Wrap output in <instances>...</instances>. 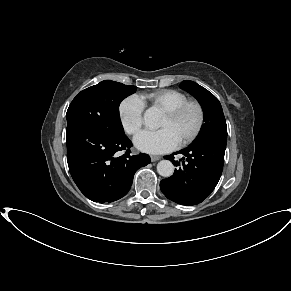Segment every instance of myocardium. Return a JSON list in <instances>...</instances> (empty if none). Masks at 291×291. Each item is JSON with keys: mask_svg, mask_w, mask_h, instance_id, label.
I'll return each instance as SVG.
<instances>
[{"mask_svg": "<svg viewBox=\"0 0 291 291\" xmlns=\"http://www.w3.org/2000/svg\"><path fill=\"white\" fill-rule=\"evenodd\" d=\"M189 108H195L198 112L197 125H196L194 131L189 136H187L184 140H182L178 143L179 147H185V146L191 144L201 134L203 127H204V123H205L204 107L199 101L188 99L187 101L183 102L179 106L164 112V115L167 116L169 119L176 120L181 115H183L184 112L187 111Z\"/></svg>", "mask_w": 291, "mask_h": 291, "instance_id": "f54148a6", "label": "myocardium"}]
</instances>
